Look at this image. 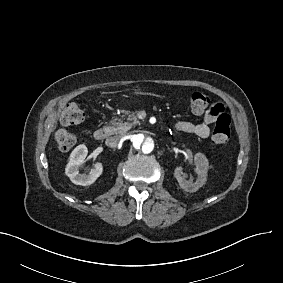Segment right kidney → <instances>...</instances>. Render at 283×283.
Segmentation results:
<instances>
[{
    "instance_id": "right-kidney-1",
    "label": "right kidney",
    "mask_w": 283,
    "mask_h": 283,
    "mask_svg": "<svg viewBox=\"0 0 283 283\" xmlns=\"http://www.w3.org/2000/svg\"><path fill=\"white\" fill-rule=\"evenodd\" d=\"M87 153L86 146L79 145L70 155V162L65 171L70 180L76 185H90L95 182L103 172V164L97 161L93 163V169H91L88 174L79 173V168L84 163Z\"/></svg>"
}]
</instances>
